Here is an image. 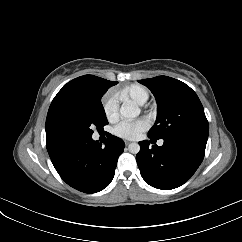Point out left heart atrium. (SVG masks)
<instances>
[{"label":"left heart atrium","mask_w":242,"mask_h":242,"mask_svg":"<svg viewBox=\"0 0 242 242\" xmlns=\"http://www.w3.org/2000/svg\"><path fill=\"white\" fill-rule=\"evenodd\" d=\"M148 128L149 122L144 118H140L135 121H122L118 123L113 129V133L123 139L135 140Z\"/></svg>","instance_id":"obj_1"}]
</instances>
